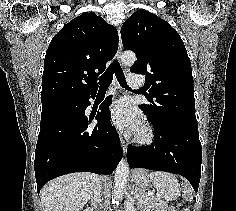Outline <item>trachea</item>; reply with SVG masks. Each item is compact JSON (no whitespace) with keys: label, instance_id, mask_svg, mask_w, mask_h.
Listing matches in <instances>:
<instances>
[{"label":"trachea","instance_id":"3493384b","mask_svg":"<svg viewBox=\"0 0 236 211\" xmlns=\"http://www.w3.org/2000/svg\"><path fill=\"white\" fill-rule=\"evenodd\" d=\"M113 74H115L119 84L122 87L129 89L125 80L123 70L117 60H114L108 67L106 72L100 77L99 79L100 89H107L109 87L113 79Z\"/></svg>","mask_w":236,"mask_h":211}]
</instances>
